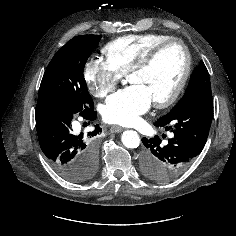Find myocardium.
I'll list each match as a JSON object with an SVG mask.
<instances>
[{
  "label": "myocardium",
  "mask_w": 236,
  "mask_h": 236,
  "mask_svg": "<svg viewBox=\"0 0 236 236\" xmlns=\"http://www.w3.org/2000/svg\"><path fill=\"white\" fill-rule=\"evenodd\" d=\"M171 44H178L182 48L183 53H184V58H185V64H184V69H183L182 75H181L179 81L177 82L176 86L172 90V92L164 99L153 101L154 106L159 109H163V108H167V107L171 106L178 99V97L182 93V91L189 79L192 62H191V55H190V52H189V49H188L186 43L182 39L175 38V37H172V38H169L165 41H162V42L158 43L157 45H155L153 48H151L147 52V54L142 59H140L129 71V76H131L133 74L140 73V72L148 69L153 64V62L155 61L157 56L167 46H169Z\"/></svg>",
  "instance_id": "obj_1"
}]
</instances>
